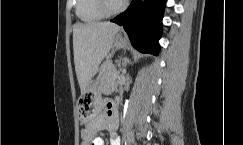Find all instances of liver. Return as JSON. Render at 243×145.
I'll use <instances>...</instances> for the list:
<instances>
[{"label": "liver", "instance_id": "1", "mask_svg": "<svg viewBox=\"0 0 243 145\" xmlns=\"http://www.w3.org/2000/svg\"><path fill=\"white\" fill-rule=\"evenodd\" d=\"M120 27L110 22L76 23L73 26L75 70L81 93L109 53Z\"/></svg>", "mask_w": 243, "mask_h": 145}]
</instances>
